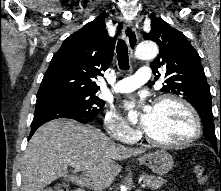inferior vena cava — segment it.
Returning <instances> with one entry per match:
<instances>
[{
    "instance_id": "1",
    "label": "inferior vena cava",
    "mask_w": 221,
    "mask_h": 191,
    "mask_svg": "<svg viewBox=\"0 0 221 191\" xmlns=\"http://www.w3.org/2000/svg\"><path fill=\"white\" fill-rule=\"evenodd\" d=\"M103 188H104L103 185L100 184V183L95 184V185L93 186L94 191H102Z\"/></svg>"
}]
</instances>
